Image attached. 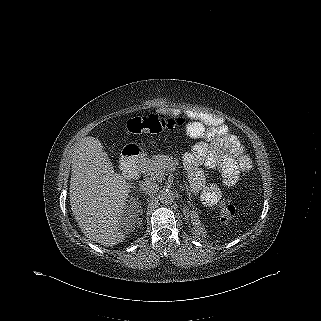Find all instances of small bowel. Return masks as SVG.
<instances>
[{
  "label": "small bowel",
  "instance_id": "small-bowel-1",
  "mask_svg": "<svg viewBox=\"0 0 321 321\" xmlns=\"http://www.w3.org/2000/svg\"><path fill=\"white\" fill-rule=\"evenodd\" d=\"M188 131L194 136H202L208 143H201L195 148L194 155L187 157L188 167L191 168L197 160L204 161L205 165L209 168L217 169L226 185H231L235 182L238 174V163L229 157L224 155L221 150L231 149L236 150L238 143L233 136L226 135V129L224 127H208L205 128L202 124H193L188 127ZM236 144V146H235ZM241 165V164H240ZM243 166H241L242 168ZM193 191L196 188L193 187ZM203 201L207 204H212L214 199L208 194H204Z\"/></svg>",
  "mask_w": 321,
  "mask_h": 321
}]
</instances>
